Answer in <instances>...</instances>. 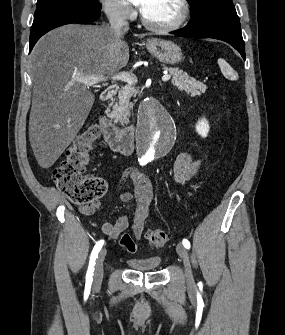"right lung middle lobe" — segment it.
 Wrapping results in <instances>:
<instances>
[{"mask_svg": "<svg viewBox=\"0 0 285 335\" xmlns=\"http://www.w3.org/2000/svg\"><path fill=\"white\" fill-rule=\"evenodd\" d=\"M60 8H77L92 12H100L97 0H38L34 17Z\"/></svg>", "mask_w": 285, "mask_h": 335, "instance_id": "dd1d6c3e", "label": "right lung middle lobe"}]
</instances>
